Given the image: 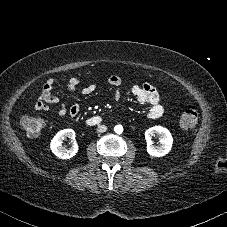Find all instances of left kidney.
Here are the masks:
<instances>
[{
  "instance_id": "5707ae66",
  "label": "left kidney",
  "mask_w": 227,
  "mask_h": 227,
  "mask_svg": "<svg viewBox=\"0 0 227 227\" xmlns=\"http://www.w3.org/2000/svg\"><path fill=\"white\" fill-rule=\"evenodd\" d=\"M160 137V144L153 146L151 141L152 136ZM145 139L147 141V152L150 156L161 157L168 154L172 148L173 137L170 131L162 126H154L146 130Z\"/></svg>"
}]
</instances>
